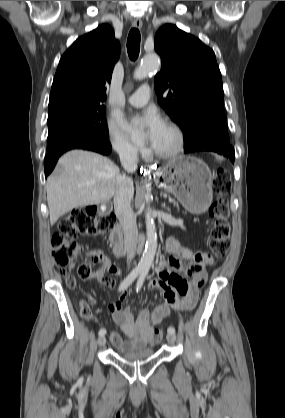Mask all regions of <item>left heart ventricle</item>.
<instances>
[{"mask_svg": "<svg viewBox=\"0 0 285 418\" xmlns=\"http://www.w3.org/2000/svg\"><path fill=\"white\" fill-rule=\"evenodd\" d=\"M175 143V134L165 126L164 130L159 135L154 148L161 151H169L175 146Z\"/></svg>", "mask_w": 285, "mask_h": 418, "instance_id": "1", "label": "left heart ventricle"}]
</instances>
